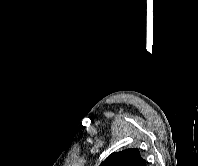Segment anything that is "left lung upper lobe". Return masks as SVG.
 Here are the masks:
<instances>
[{
  "mask_svg": "<svg viewBox=\"0 0 198 166\" xmlns=\"http://www.w3.org/2000/svg\"><path fill=\"white\" fill-rule=\"evenodd\" d=\"M137 148L125 149L111 154L100 166H146Z\"/></svg>",
  "mask_w": 198,
  "mask_h": 166,
  "instance_id": "left-lung-upper-lobe-1",
  "label": "left lung upper lobe"
}]
</instances>
